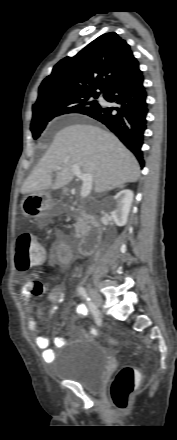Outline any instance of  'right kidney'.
Listing matches in <instances>:
<instances>
[{
  "instance_id": "right-kidney-1",
  "label": "right kidney",
  "mask_w": 177,
  "mask_h": 440,
  "mask_svg": "<svg viewBox=\"0 0 177 440\" xmlns=\"http://www.w3.org/2000/svg\"><path fill=\"white\" fill-rule=\"evenodd\" d=\"M133 196V192L129 189H124L114 196L111 217L117 226H124L127 223Z\"/></svg>"
}]
</instances>
